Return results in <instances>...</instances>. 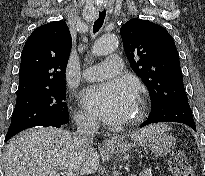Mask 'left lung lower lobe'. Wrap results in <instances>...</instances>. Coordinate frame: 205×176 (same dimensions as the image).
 <instances>
[{
  "mask_svg": "<svg viewBox=\"0 0 205 176\" xmlns=\"http://www.w3.org/2000/svg\"><path fill=\"white\" fill-rule=\"evenodd\" d=\"M158 122L184 123L196 131L187 95L183 94L177 97L175 101L166 106L151 109L148 119L140 127Z\"/></svg>",
  "mask_w": 205,
  "mask_h": 176,
  "instance_id": "obj_1",
  "label": "left lung lower lobe"
}]
</instances>
